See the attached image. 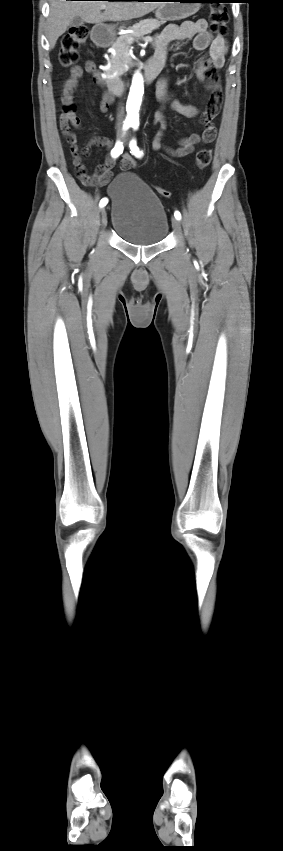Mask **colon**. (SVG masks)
Masks as SVG:
<instances>
[{
    "label": "colon",
    "mask_w": 283,
    "mask_h": 851,
    "mask_svg": "<svg viewBox=\"0 0 283 851\" xmlns=\"http://www.w3.org/2000/svg\"><path fill=\"white\" fill-rule=\"evenodd\" d=\"M210 20V28L211 31L219 36H223L227 33V23H228V13L226 9L222 6H214L212 7L209 15ZM89 34V30L87 26L80 25L75 28L69 30L66 34L63 35L61 39V47L59 50V62L63 66H71L77 62L79 58V48L80 46L87 40ZM65 112L74 111L73 105H68L64 107ZM214 128L209 127L206 130L208 135L214 134ZM212 159V150L209 148H202L196 154V165L203 169L207 167ZM78 177L84 183H90L91 177L84 173L81 170L77 169ZM159 195L163 198H169L170 192L163 189H157Z\"/></svg>",
    "instance_id": "1"
}]
</instances>
